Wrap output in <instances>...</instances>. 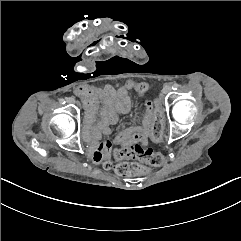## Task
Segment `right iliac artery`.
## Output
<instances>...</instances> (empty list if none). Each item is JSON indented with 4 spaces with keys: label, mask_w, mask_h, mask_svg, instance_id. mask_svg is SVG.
I'll return each mask as SVG.
<instances>
[{
    "label": "right iliac artery",
    "mask_w": 241,
    "mask_h": 241,
    "mask_svg": "<svg viewBox=\"0 0 241 241\" xmlns=\"http://www.w3.org/2000/svg\"><path fill=\"white\" fill-rule=\"evenodd\" d=\"M59 102H60L61 104H64V103H65V100H64V99H60Z\"/></svg>",
    "instance_id": "obj_1"
}]
</instances>
